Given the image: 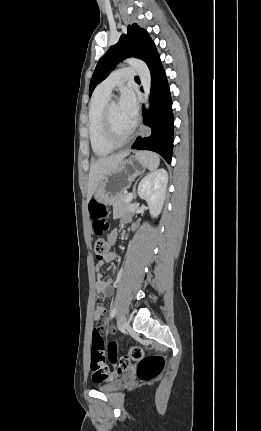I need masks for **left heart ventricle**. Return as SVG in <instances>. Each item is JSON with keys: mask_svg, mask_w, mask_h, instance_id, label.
Masks as SVG:
<instances>
[{"mask_svg": "<svg viewBox=\"0 0 261 431\" xmlns=\"http://www.w3.org/2000/svg\"><path fill=\"white\" fill-rule=\"evenodd\" d=\"M110 120L113 127V130L117 137L123 138L125 137L132 126L126 120L124 115L122 114L119 104L113 102L110 108Z\"/></svg>", "mask_w": 261, "mask_h": 431, "instance_id": "b2bd125f", "label": "left heart ventricle"}]
</instances>
